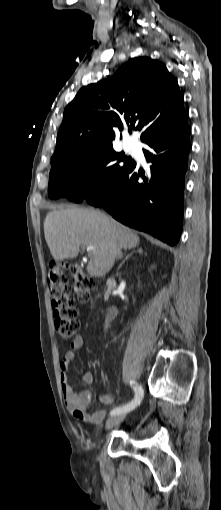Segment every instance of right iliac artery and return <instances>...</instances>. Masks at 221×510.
<instances>
[{"mask_svg":"<svg viewBox=\"0 0 221 510\" xmlns=\"http://www.w3.org/2000/svg\"><path fill=\"white\" fill-rule=\"evenodd\" d=\"M134 384L135 385L133 386V389L135 391V398L130 403H128L126 405L114 408L110 412L111 416L129 412V411L133 410L134 408H136L138 405H140L142 398H143V389L137 383H134Z\"/></svg>","mask_w":221,"mask_h":510,"instance_id":"1","label":"right iliac artery"}]
</instances>
